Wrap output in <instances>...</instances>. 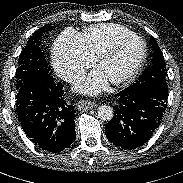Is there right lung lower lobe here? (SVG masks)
Masks as SVG:
<instances>
[{
  "label": "right lung lower lobe",
  "instance_id": "obj_1",
  "mask_svg": "<svg viewBox=\"0 0 183 183\" xmlns=\"http://www.w3.org/2000/svg\"><path fill=\"white\" fill-rule=\"evenodd\" d=\"M63 85L52 76L22 85L16 111L25 134L39 148L60 152L75 139V110L64 98Z\"/></svg>",
  "mask_w": 183,
  "mask_h": 183
}]
</instances>
